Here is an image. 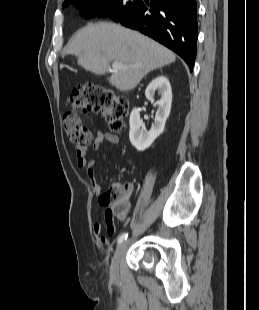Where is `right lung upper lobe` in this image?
I'll return each instance as SVG.
<instances>
[{
	"instance_id": "right-lung-upper-lobe-1",
	"label": "right lung upper lobe",
	"mask_w": 259,
	"mask_h": 310,
	"mask_svg": "<svg viewBox=\"0 0 259 310\" xmlns=\"http://www.w3.org/2000/svg\"><path fill=\"white\" fill-rule=\"evenodd\" d=\"M69 1H77V0H66L64 3H67ZM78 1H85V2H94V1H98V0H78ZM63 3V4H64Z\"/></svg>"
}]
</instances>
